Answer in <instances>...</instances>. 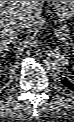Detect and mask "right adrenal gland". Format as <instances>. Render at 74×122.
<instances>
[{
	"mask_svg": "<svg viewBox=\"0 0 74 122\" xmlns=\"http://www.w3.org/2000/svg\"><path fill=\"white\" fill-rule=\"evenodd\" d=\"M17 42H18V34H17L16 40L12 41L10 44H16Z\"/></svg>",
	"mask_w": 74,
	"mask_h": 122,
	"instance_id": "2a0ac1e0",
	"label": "right adrenal gland"
}]
</instances>
